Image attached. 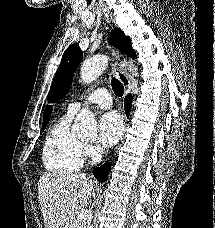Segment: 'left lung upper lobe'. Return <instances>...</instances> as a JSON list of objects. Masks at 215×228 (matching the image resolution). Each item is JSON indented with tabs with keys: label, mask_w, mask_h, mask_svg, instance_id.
Masks as SVG:
<instances>
[{
	"label": "left lung upper lobe",
	"mask_w": 215,
	"mask_h": 228,
	"mask_svg": "<svg viewBox=\"0 0 215 228\" xmlns=\"http://www.w3.org/2000/svg\"><path fill=\"white\" fill-rule=\"evenodd\" d=\"M109 42L129 57L136 58L130 39L119 28L112 30ZM82 58L83 52L79 44H73L66 49L48 95L50 102L59 101L68 93L74 72L81 63Z\"/></svg>",
	"instance_id": "obj_1"
}]
</instances>
